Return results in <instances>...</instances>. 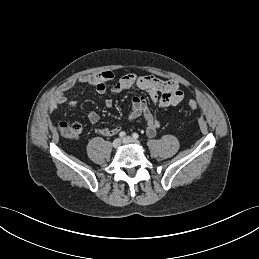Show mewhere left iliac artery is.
<instances>
[{"mask_svg": "<svg viewBox=\"0 0 259 259\" xmlns=\"http://www.w3.org/2000/svg\"><path fill=\"white\" fill-rule=\"evenodd\" d=\"M132 136L134 139H138V137H139V135L137 133H133Z\"/></svg>", "mask_w": 259, "mask_h": 259, "instance_id": "obj_1", "label": "left iliac artery"}]
</instances>
